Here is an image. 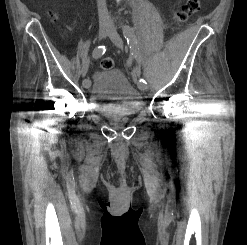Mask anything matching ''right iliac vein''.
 <instances>
[{"mask_svg":"<svg viewBox=\"0 0 247 245\" xmlns=\"http://www.w3.org/2000/svg\"><path fill=\"white\" fill-rule=\"evenodd\" d=\"M110 29L106 26H101L99 29V34H98V40H102L106 38L109 35ZM82 85L84 88H89L91 85V81L89 79H86L85 81L82 82Z\"/></svg>","mask_w":247,"mask_h":245,"instance_id":"63e3f726","label":"right iliac vein"}]
</instances>
